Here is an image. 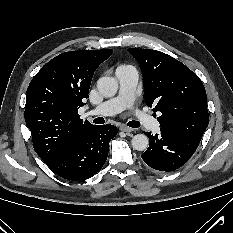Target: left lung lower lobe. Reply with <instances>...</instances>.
Instances as JSON below:
<instances>
[{
    "label": "left lung lower lobe",
    "mask_w": 233,
    "mask_h": 233,
    "mask_svg": "<svg viewBox=\"0 0 233 233\" xmlns=\"http://www.w3.org/2000/svg\"><path fill=\"white\" fill-rule=\"evenodd\" d=\"M160 134L149 137V147L142 159L158 171H173L184 165L196 151L200 140L192 135L172 129L160 128Z\"/></svg>",
    "instance_id": "left-lung-lower-lobe-1"
}]
</instances>
